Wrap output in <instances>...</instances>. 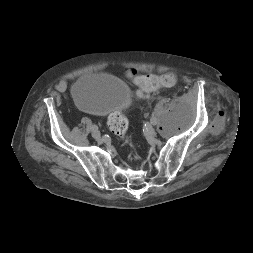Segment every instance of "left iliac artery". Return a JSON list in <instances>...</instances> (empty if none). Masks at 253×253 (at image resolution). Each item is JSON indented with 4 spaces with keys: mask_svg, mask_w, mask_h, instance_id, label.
Wrapping results in <instances>:
<instances>
[{
    "mask_svg": "<svg viewBox=\"0 0 253 253\" xmlns=\"http://www.w3.org/2000/svg\"><path fill=\"white\" fill-rule=\"evenodd\" d=\"M151 123H152L153 125H156V124H157V120H156L155 118H152V119H151Z\"/></svg>",
    "mask_w": 253,
    "mask_h": 253,
    "instance_id": "obj_1",
    "label": "left iliac artery"
}]
</instances>
